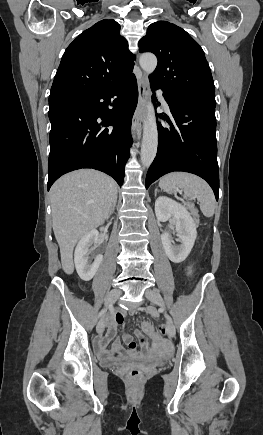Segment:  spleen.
Instances as JSON below:
<instances>
[{
	"label": "spleen",
	"instance_id": "1",
	"mask_svg": "<svg viewBox=\"0 0 263 435\" xmlns=\"http://www.w3.org/2000/svg\"><path fill=\"white\" fill-rule=\"evenodd\" d=\"M159 186L167 191L181 189L186 196L197 198L204 216L214 215L215 197L210 186L202 178L186 172H173L162 177Z\"/></svg>",
	"mask_w": 263,
	"mask_h": 435
}]
</instances>
